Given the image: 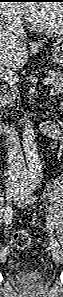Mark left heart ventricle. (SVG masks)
<instances>
[{
	"mask_svg": "<svg viewBox=\"0 0 63 297\" xmlns=\"http://www.w3.org/2000/svg\"><path fill=\"white\" fill-rule=\"evenodd\" d=\"M32 16L35 22L57 26L60 22V9L56 4L42 5L39 7V11Z\"/></svg>",
	"mask_w": 63,
	"mask_h": 297,
	"instance_id": "b2bd125f",
	"label": "left heart ventricle"
}]
</instances>
